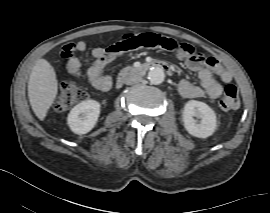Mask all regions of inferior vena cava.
<instances>
[{"label":"inferior vena cava","mask_w":270,"mask_h":213,"mask_svg":"<svg viewBox=\"0 0 270 213\" xmlns=\"http://www.w3.org/2000/svg\"><path fill=\"white\" fill-rule=\"evenodd\" d=\"M142 81V77L139 76V75H136V74H131V75H128L125 80H124V83L126 85H132V84H135V83H139Z\"/></svg>","instance_id":"602c4592"}]
</instances>
